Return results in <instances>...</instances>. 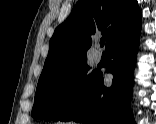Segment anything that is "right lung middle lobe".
Instances as JSON below:
<instances>
[{"label":"right lung middle lobe","instance_id":"right-lung-middle-lobe-1","mask_svg":"<svg viewBox=\"0 0 156 124\" xmlns=\"http://www.w3.org/2000/svg\"><path fill=\"white\" fill-rule=\"evenodd\" d=\"M98 74V70L91 72L84 62L39 79L32 117L60 120L81 101Z\"/></svg>","mask_w":156,"mask_h":124}]
</instances>
